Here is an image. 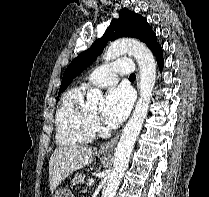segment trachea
<instances>
[{"instance_id":"1","label":"trachea","mask_w":209,"mask_h":197,"mask_svg":"<svg viewBox=\"0 0 209 197\" xmlns=\"http://www.w3.org/2000/svg\"><path fill=\"white\" fill-rule=\"evenodd\" d=\"M129 78H136V75L134 73L130 74Z\"/></svg>"}]
</instances>
